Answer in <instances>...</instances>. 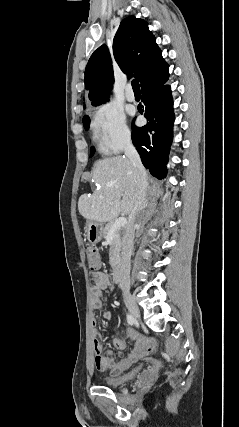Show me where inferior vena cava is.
<instances>
[{
    "label": "inferior vena cava",
    "mask_w": 239,
    "mask_h": 427,
    "mask_svg": "<svg viewBox=\"0 0 239 427\" xmlns=\"http://www.w3.org/2000/svg\"><path fill=\"white\" fill-rule=\"evenodd\" d=\"M124 153L131 161L138 176V195L134 208L130 213L129 221L122 238V258L120 264L119 285L122 290L130 289V266L131 254L134 245L135 224L138 222L139 214L147 206V174L141 162L140 156L130 139L127 140Z\"/></svg>",
    "instance_id": "1"
}]
</instances>
